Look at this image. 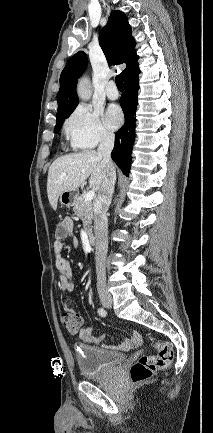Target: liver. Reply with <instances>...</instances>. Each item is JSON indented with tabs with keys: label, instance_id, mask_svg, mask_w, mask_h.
I'll use <instances>...</instances> for the list:
<instances>
[{
	"label": "liver",
	"instance_id": "obj_1",
	"mask_svg": "<svg viewBox=\"0 0 213 433\" xmlns=\"http://www.w3.org/2000/svg\"><path fill=\"white\" fill-rule=\"evenodd\" d=\"M103 174L102 157L94 150L56 159L49 167L47 177V195L51 207L56 209L59 196L63 192L76 190L89 176L90 188L99 193Z\"/></svg>",
	"mask_w": 213,
	"mask_h": 433
}]
</instances>
